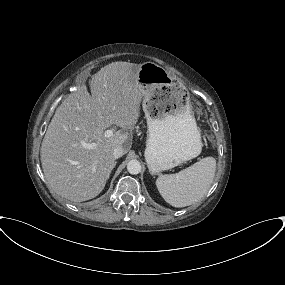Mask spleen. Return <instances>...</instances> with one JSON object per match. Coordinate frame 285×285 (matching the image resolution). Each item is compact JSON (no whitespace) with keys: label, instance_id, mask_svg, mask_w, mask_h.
I'll return each instance as SVG.
<instances>
[{"label":"spleen","instance_id":"spleen-1","mask_svg":"<svg viewBox=\"0 0 285 285\" xmlns=\"http://www.w3.org/2000/svg\"><path fill=\"white\" fill-rule=\"evenodd\" d=\"M215 171V158L206 157L178 173L159 176L156 186L168 204L179 208L189 206L206 195Z\"/></svg>","mask_w":285,"mask_h":285}]
</instances>
